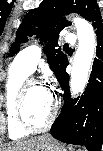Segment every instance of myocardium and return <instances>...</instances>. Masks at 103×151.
<instances>
[{"instance_id":"1","label":"myocardium","mask_w":103,"mask_h":151,"mask_svg":"<svg viewBox=\"0 0 103 151\" xmlns=\"http://www.w3.org/2000/svg\"><path fill=\"white\" fill-rule=\"evenodd\" d=\"M33 85L44 86L41 81L35 79H28L23 82L16 98L15 119L17 124L23 130L28 132L38 133V132L46 131L52 126L57 116L59 103L58 100L50 93L52 97V109L48 120L42 126L32 125L26 118L25 109H26V99H27L28 90Z\"/></svg>"}]
</instances>
